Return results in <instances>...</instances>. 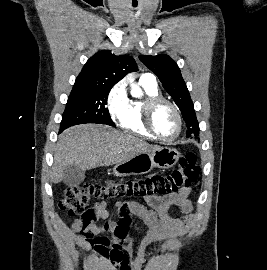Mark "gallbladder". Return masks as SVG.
<instances>
[{
  "label": "gallbladder",
  "instance_id": "gallbladder-1",
  "mask_svg": "<svg viewBox=\"0 0 267 270\" xmlns=\"http://www.w3.org/2000/svg\"><path fill=\"white\" fill-rule=\"evenodd\" d=\"M85 179V171L76 165H69L63 171L62 180L66 185L77 186Z\"/></svg>",
  "mask_w": 267,
  "mask_h": 270
}]
</instances>
